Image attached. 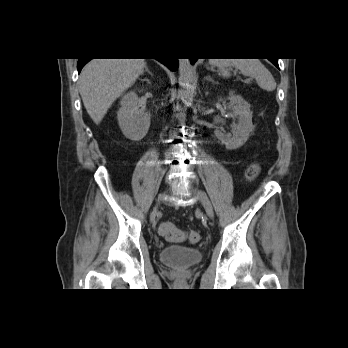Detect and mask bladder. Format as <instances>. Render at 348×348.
Masks as SVG:
<instances>
[{
  "instance_id": "31cf9c89",
  "label": "bladder",
  "mask_w": 348,
  "mask_h": 348,
  "mask_svg": "<svg viewBox=\"0 0 348 348\" xmlns=\"http://www.w3.org/2000/svg\"><path fill=\"white\" fill-rule=\"evenodd\" d=\"M203 252L196 247L171 245L163 248L159 253V260L166 265L175 267H189L200 262Z\"/></svg>"
}]
</instances>
